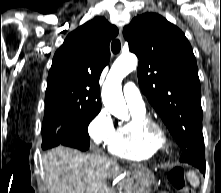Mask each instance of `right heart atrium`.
<instances>
[{"mask_svg":"<svg viewBox=\"0 0 221 193\" xmlns=\"http://www.w3.org/2000/svg\"><path fill=\"white\" fill-rule=\"evenodd\" d=\"M115 132L114 120L105 108L99 110L88 126L91 139L96 145L100 146L108 145Z\"/></svg>","mask_w":221,"mask_h":193,"instance_id":"1","label":"right heart atrium"}]
</instances>
